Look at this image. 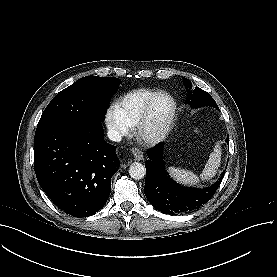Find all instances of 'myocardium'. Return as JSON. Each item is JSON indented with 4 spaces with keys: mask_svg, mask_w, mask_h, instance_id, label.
Wrapping results in <instances>:
<instances>
[{
    "mask_svg": "<svg viewBox=\"0 0 277 277\" xmlns=\"http://www.w3.org/2000/svg\"><path fill=\"white\" fill-rule=\"evenodd\" d=\"M158 97H164L165 99H167L171 104V110L168 114L167 119L160 127H158L156 130L148 131V125L151 120L152 107ZM175 114H176L175 100L166 92H155L149 98L145 106L144 112L136 125V130H135L136 137L145 146H151L159 143L161 140L165 138V136L170 131Z\"/></svg>",
    "mask_w": 277,
    "mask_h": 277,
    "instance_id": "obj_1",
    "label": "myocardium"
}]
</instances>
